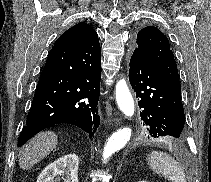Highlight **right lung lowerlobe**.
I'll list each match as a JSON object with an SVG mask.
<instances>
[{
    "instance_id": "98d812e1",
    "label": "right lung lower lobe",
    "mask_w": 211,
    "mask_h": 182,
    "mask_svg": "<svg viewBox=\"0 0 211 182\" xmlns=\"http://www.w3.org/2000/svg\"><path fill=\"white\" fill-rule=\"evenodd\" d=\"M101 48L98 35L55 42L40 76L18 146L55 124L78 126L92 138L100 124Z\"/></svg>"
}]
</instances>
